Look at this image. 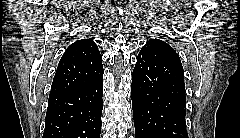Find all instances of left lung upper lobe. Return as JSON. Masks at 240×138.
I'll return each mask as SVG.
<instances>
[{"label": "left lung upper lobe", "mask_w": 240, "mask_h": 138, "mask_svg": "<svg viewBox=\"0 0 240 138\" xmlns=\"http://www.w3.org/2000/svg\"><path fill=\"white\" fill-rule=\"evenodd\" d=\"M155 48L166 49V50H169V51L177 54L175 52V50L169 44H167L166 42H164L162 40H159V39H151V40L147 41L145 46L141 49L140 53L141 52H148V51H150L152 49H155Z\"/></svg>", "instance_id": "left-lung-upper-lobe-1"}]
</instances>
